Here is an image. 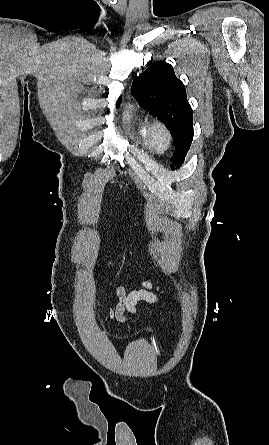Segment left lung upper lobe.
Listing matches in <instances>:
<instances>
[{
    "label": "left lung upper lobe",
    "instance_id": "5c2ea615",
    "mask_svg": "<svg viewBox=\"0 0 269 445\" xmlns=\"http://www.w3.org/2000/svg\"><path fill=\"white\" fill-rule=\"evenodd\" d=\"M132 93L141 107L170 130L176 149L171 167L180 168L194 135L193 112L182 81L170 64L156 62L134 79Z\"/></svg>",
    "mask_w": 269,
    "mask_h": 445
}]
</instances>
